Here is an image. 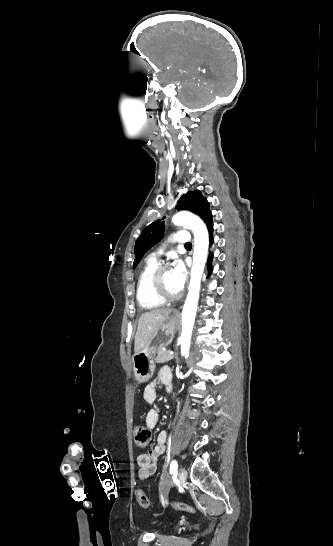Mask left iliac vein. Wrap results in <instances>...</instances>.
Instances as JSON below:
<instances>
[{
    "label": "left iliac vein",
    "mask_w": 333,
    "mask_h": 546,
    "mask_svg": "<svg viewBox=\"0 0 333 546\" xmlns=\"http://www.w3.org/2000/svg\"><path fill=\"white\" fill-rule=\"evenodd\" d=\"M187 477V471L185 468L181 467L178 472V479L181 483H184ZM170 485L167 486L169 488Z\"/></svg>",
    "instance_id": "obj_1"
}]
</instances>
